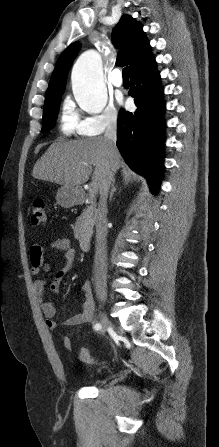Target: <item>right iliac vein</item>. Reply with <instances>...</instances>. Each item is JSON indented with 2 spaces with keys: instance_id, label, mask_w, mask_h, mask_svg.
Returning a JSON list of instances; mask_svg holds the SVG:
<instances>
[{
  "instance_id": "63e3f726",
  "label": "right iliac vein",
  "mask_w": 219,
  "mask_h": 447,
  "mask_svg": "<svg viewBox=\"0 0 219 447\" xmlns=\"http://www.w3.org/2000/svg\"><path fill=\"white\" fill-rule=\"evenodd\" d=\"M100 324H101V333H104L107 328L110 326V321L108 320L107 316L105 314H102L100 318Z\"/></svg>"
}]
</instances>
